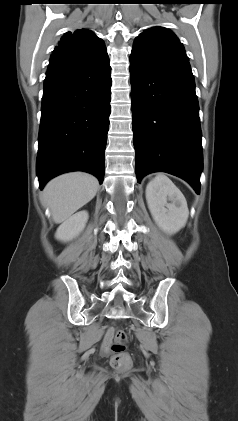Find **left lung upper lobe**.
Wrapping results in <instances>:
<instances>
[{
	"instance_id": "5c2ea615",
	"label": "left lung upper lobe",
	"mask_w": 238,
	"mask_h": 421,
	"mask_svg": "<svg viewBox=\"0 0 238 421\" xmlns=\"http://www.w3.org/2000/svg\"><path fill=\"white\" fill-rule=\"evenodd\" d=\"M131 53L152 61L169 58L188 60L177 36L164 27H152L143 31L135 39Z\"/></svg>"
}]
</instances>
